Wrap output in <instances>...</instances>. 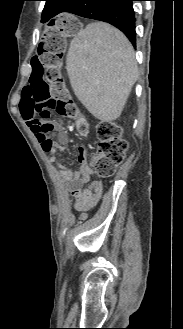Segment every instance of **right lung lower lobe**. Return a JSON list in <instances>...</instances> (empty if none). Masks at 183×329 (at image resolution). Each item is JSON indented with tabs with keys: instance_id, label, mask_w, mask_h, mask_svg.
Instances as JSON below:
<instances>
[{
	"instance_id": "obj_1",
	"label": "right lung lower lobe",
	"mask_w": 183,
	"mask_h": 329,
	"mask_svg": "<svg viewBox=\"0 0 183 329\" xmlns=\"http://www.w3.org/2000/svg\"><path fill=\"white\" fill-rule=\"evenodd\" d=\"M135 0H62L54 6L55 14L70 12L75 15L109 22L120 29L135 46Z\"/></svg>"
}]
</instances>
